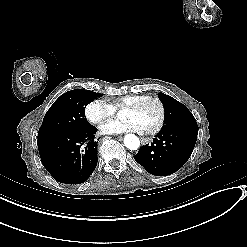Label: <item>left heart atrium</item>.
<instances>
[{"mask_svg":"<svg viewBox=\"0 0 247 247\" xmlns=\"http://www.w3.org/2000/svg\"><path fill=\"white\" fill-rule=\"evenodd\" d=\"M101 130L104 133H123L128 131H141L142 127L137 119L129 118L121 122H112L102 126Z\"/></svg>","mask_w":247,"mask_h":247,"instance_id":"obj_1","label":"left heart atrium"}]
</instances>
